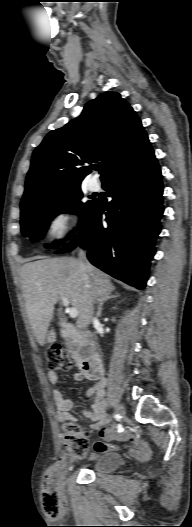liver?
I'll list each match as a JSON object with an SVG mask.
<instances>
[{
	"label": "liver",
	"instance_id": "1",
	"mask_svg": "<svg viewBox=\"0 0 192 527\" xmlns=\"http://www.w3.org/2000/svg\"><path fill=\"white\" fill-rule=\"evenodd\" d=\"M20 277L26 312L40 346L46 343L54 305L62 297L78 311L77 328L85 329L91 322L95 301L115 289L105 273L90 264L83 272L79 260L72 257L25 263Z\"/></svg>",
	"mask_w": 192,
	"mask_h": 527
}]
</instances>
